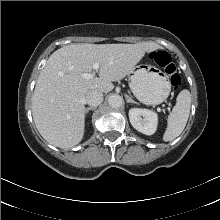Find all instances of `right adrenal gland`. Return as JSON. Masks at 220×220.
I'll use <instances>...</instances> for the list:
<instances>
[{"mask_svg": "<svg viewBox=\"0 0 220 220\" xmlns=\"http://www.w3.org/2000/svg\"><path fill=\"white\" fill-rule=\"evenodd\" d=\"M96 108H94V107H87L86 109H85V114H87L90 110H95Z\"/></svg>", "mask_w": 220, "mask_h": 220, "instance_id": "2a0ac1e0", "label": "right adrenal gland"}]
</instances>
